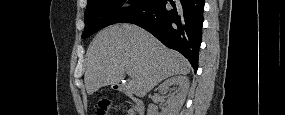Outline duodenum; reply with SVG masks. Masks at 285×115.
<instances>
[{
  "label": "duodenum",
  "instance_id": "410a0bca",
  "mask_svg": "<svg viewBox=\"0 0 285 115\" xmlns=\"http://www.w3.org/2000/svg\"><path fill=\"white\" fill-rule=\"evenodd\" d=\"M120 92H123L126 95H129L133 98L134 104H135V109L138 113H142L143 111V104L140 98L137 96L133 95L131 91L126 87V86H117L116 87Z\"/></svg>",
  "mask_w": 285,
  "mask_h": 115
}]
</instances>
